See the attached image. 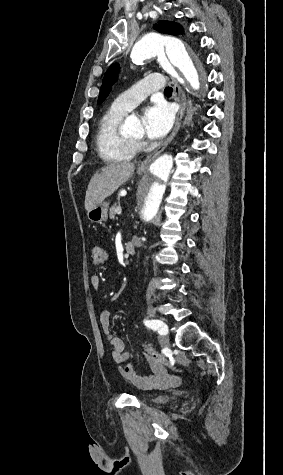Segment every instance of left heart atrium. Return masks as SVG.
Returning a JSON list of instances; mask_svg holds the SVG:
<instances>
[{
    "instance_id": "left-heart-atrium-1",
    "label": "left heart atrium",
    "mask_w": 283,
    "mask_h": 475,
    "mask_svg": "<svg viewBox=\"0 0 283 475\" xmlns=\"http://www.w3.org/2000/svg\"><path fill=\"white\" fill-rule=\"evenodd\" d=\"M142 122L144 133L148 138H162L173 126L174 110L170 104L156 101L144 110Z\"/></svg>"
}]
</instances>
